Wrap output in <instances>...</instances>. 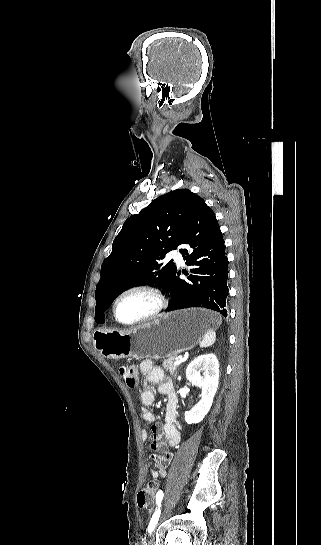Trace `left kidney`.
<instances>
[{
    "label": "left kidney",
    "mask_w": 321,
    "mask_h": 545,
    "mask_svg": "<svg viewBox=\"0 0 321 545\" xmlns=\"http://www.w3.org/2000/svg\"><path fill=\"white\" fill-rule=\"evenodd\" d=\"M203 373V375H201ZM189 383L202 389V399L191 409L185 411V421L188 425L200 423L209 413L219 385V363L213 353L200 355L191 361L186 369Z\"/></svg>",
    "instance_id": "left-kidney-1"
}]
</instances>
